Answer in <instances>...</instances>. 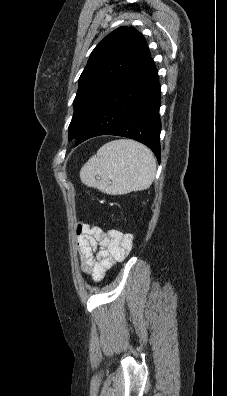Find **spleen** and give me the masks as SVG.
Segmentation results:
<instances>
[{
    "instance_id": "spleen-1",
    "label": "spleen",
    "mask_w": 227,
    "mask_h": 396,
    "mask_svg": "<svg viewBox=\"0 0 227 396\" xmlns=\"http://www.w3.org/2000/svg\"><path fill=\"white\" fill-rule=\"evenodd\" d=\"M156 174L153 153L133 140H114L103 145L80 171L88 187L122 195L148 189Z\"/></svg>"
}]
</instances>
